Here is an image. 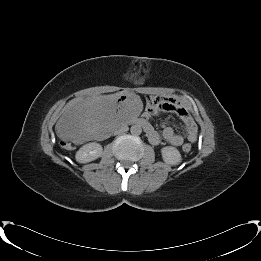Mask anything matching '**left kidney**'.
Instances as JSON below:
<instances>
[{
    "instance_id": "5707ae66",
    "label": "left kidney",
    "mask_w": 261,
    "mask_h": 261,
    "mask_svg": "<svg viewBox=\"0 0 261 261\" xmlns=\"http://www.w3.org/2000/svg\"><path fill=\"white\" fill-rule=\"evenodd\" d=\"M162 158L169 165H178L182 161V157L177 148L166 146L161 149Z\"/></svg>"
}]
</instances>
